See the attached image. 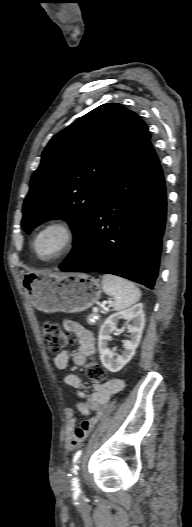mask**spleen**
<instances>
[{"label":"spleen","instance_id":"3e777b00","mask_svg":"<svg viewBox=\"0 0 192 527\" xmlns=\"http://www.w3.org/2000/svg\"><path fill=\"white\" fill-rule=\"evenodd\" d=\"M103 291L113 297L114 310L121 311L137 303L141 297V291L131 281L114 275H103Z\"/></svg>","mask_w":192,"mask_h":527}]
</instances>
